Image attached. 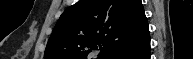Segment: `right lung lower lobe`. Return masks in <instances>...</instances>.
<instances>
[{"mask_svg": "<svg viewBox=\"0 0 193 59\" xmlns=\"http://www.w3.org/2000/svg\"><path fill=\"white\" fill-rule=\"evenodd\" d=\"M109 59H150L149 31L139 40L124 47Z\"/></svg>", "mask_w": 193, "mask_h": 59, "instance_id": "obj_1", "label": "right lung lower lobe"}]
</instances>
